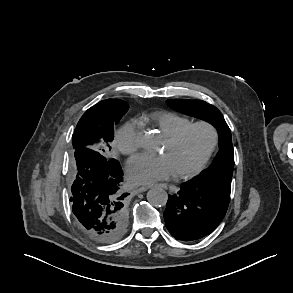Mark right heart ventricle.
<instances>
[{
    "label": "right heart ventricle",
    "mask_w": 293,
    "mask_h": 293,
    "mask_svg": "<svg viewBox=\"0 0 293 293\" xmlns=\"http://www.w3.org/2000/svg\"><path fill=\"white\" fill-rule=\"evenodd\" d=\"M150 120L166 137L192 122L188 117L168 111L155 112L150 116Z\"/></svg>",
    "instance_id": "right-heart-ventricle-1"
}]
</instances>
